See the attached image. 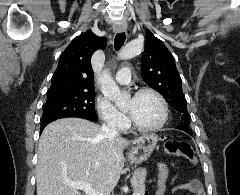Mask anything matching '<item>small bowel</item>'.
Wrapping results in <instances>:
<instances>
[{
  "mask_svg": "<svg viewBox=\"0 0 240 195\" xmlns=\"http://www.w3.org/2000/svg\"><path fill=\"white\" fill-rule=\"evenodd\" d=\"M194 181H196V180H194ZM180 190H186V189H185V186H177V187H175V188L173 189L174 192H178V191H180Z\"/></svg>",
  "mask_w": 240,
  "mask_h": 195,
  "instance_id": "1",
  "label": "small bowel"
}]
</instances>
